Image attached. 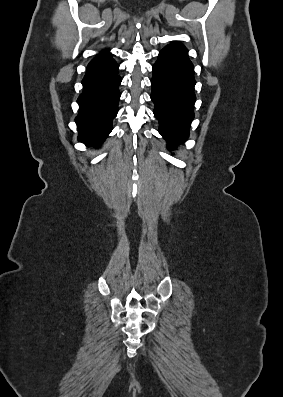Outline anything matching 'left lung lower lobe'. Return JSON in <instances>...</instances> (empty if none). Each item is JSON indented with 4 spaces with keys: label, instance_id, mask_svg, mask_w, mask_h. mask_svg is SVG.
<instances>
[{
    "label": "left lung lower lobe",
    "instance_id": "left-lung-lower-lobe-1",
    "mask_svg": "<svg viewBox=\"0 0 283 397\" xmlns=\"http://www.w3.org/2000/svg\"><path fill=\"white\" fill-rule=\"evenodd\" d=\"M194 67L187 53L167 45L153 65L151 100L159 121V133L174 149L189 137L194 119Z\"/></svg>",
    "mask_w": 283,
    "mask_h": 397
}]
</instances>
